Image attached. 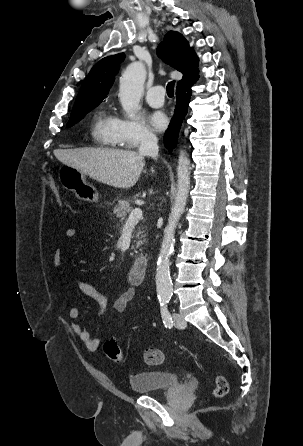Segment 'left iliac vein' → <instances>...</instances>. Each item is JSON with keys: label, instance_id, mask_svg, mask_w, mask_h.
I'll use <instances>...</instances> for the list:
<instances>
[{"label": "left iliac vein", "instance_id": "1", "mask_svg": "<svg viewBox=\"0 0 303 446\" xmlns=\"http://www.w3.org/2000/svg\"><path fill=\"white\" fill-rule=\"evenodd\" d=\"M174 325L179 329H184L187 326V323L182 315L178 313L173 314Z\"/></svg>", "mask_w": 303, "mask_h": 446}]
</instances>
